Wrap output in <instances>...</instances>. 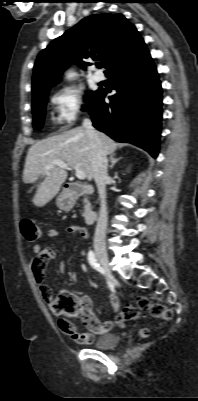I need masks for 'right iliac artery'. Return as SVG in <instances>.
<instances>
[{"mask_svg":"<svg viewBox=\"0 0 198 401\" xmlns=\"http://www.w3.org/2000/svg\"><path fill=\"white\" fill-rule=\"evenodd\" d=\"M88 261H89L90 265H91L94 269H96V270L99 269V264H98V262H97V259H96L95 254H94L93 251H89V253H88Z\"/></svg>","mask_w":198,"mask_h":401,"instance_id":"82829eb1","label":"right iliac artery"}]
</instances>
